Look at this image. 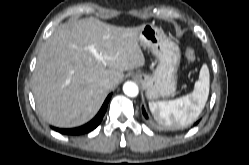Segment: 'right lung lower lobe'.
I'll return each mask as SVG.
<instances>
[{"instance_id":"right-lung-lower-lobe-1","label":"right lung lower lobe","mask_w":249,"mask_h":165,"mask_svg":"<svg viewBox=\"0 0 249 165\" xmlns=\"http://www.w3.org/2000/svg\"><path fill=\"white\" fill-rule=\"evenodd\" d=\"M110 98H111V94L106 98L98 114L87 124L77 127V128H72V129H60V128H53V129L59 133L66 134V135H80V134H85V133H88L94 130L101 123L103 116L107 110V106H108V102Z\"/></svg>"}]
</instances>
